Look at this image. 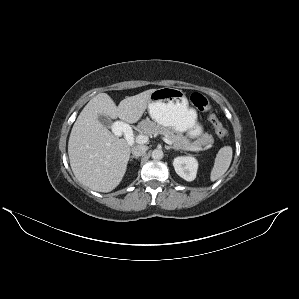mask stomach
<instances>
[{"instance_id": "stomach-1", "label": "stomach", "mask_w": 299, "mask_h": 299, "mask_svg": "<svg viewBox=\"0 0 299 299\" xmlns=\"http://www.w3.org/2000/svg\"><path fill=\"white\" fill-rule=\"evenodd\" d=\"M149 115L157 124L176 132H186L190 138L202 135L196 111L189 108L185 93L177 88L155 89L148 102Z\"/></svg>"}]
</instances>
